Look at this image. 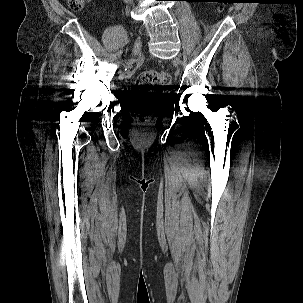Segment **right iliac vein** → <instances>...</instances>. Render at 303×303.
Wrapping results in <instances>:
<instances>
[{"label":"right iliac vein","mask_w":303,"mask_h":303,"mask_svg":"<svg viewBox=\"0 0 303 303\" xmlns=\"http://www.w3.org/2000/svg\"><path fill=\"white\" fill-rule=\"evenodd\" d=\"M141 38L138 37L137 40L134 43V47H133V55L136 56L141 52Z\"/></svg>","instance_id":"1"}]
</instances>
